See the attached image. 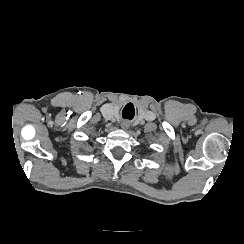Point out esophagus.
Here are the masks:
<instances>
[{
    "instance_id": "34e87169",
    "label": "esophagus",
    "mask_w": 244,
    "mask_h": 244,
    "mask_svg": "<svg viewBox=\"0 0 244 244\" xmlns=\"http://www.w3.org/2000/svg\"><path fill=\"white\" fill-rule=\"evenodd\" d=\"M121 127H122V129H128L129 128V123L124 121V122H122Z\"/></svg>"
}]
</instances>
